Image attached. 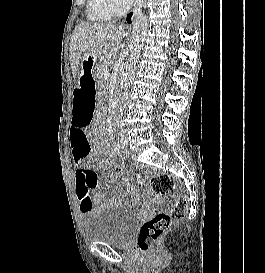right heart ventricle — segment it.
I'll return each mask as SVG.
<instances>
[{"label":"right heart ventricle","mask_w":265,"mask_h":273,"mask_svg":"<svg viewBox=\"0 0 265 273\" xmlns=\"http://www.w3.org/2000/svg\"><path fill=\"white\" fill-rule=\"evenodd\" d=\"M88 15L92 20H108L114 14L106 8L102 0H89Z\"/></svg>","instance_id":"e07e8e85"}]
</instances>
